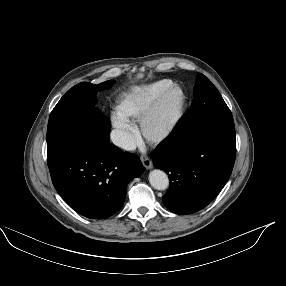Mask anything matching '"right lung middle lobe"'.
Here are the masks:
<instances>
[{"instance_id":"obj_1","label":"right lung middle lobe","mask_w":286,"mask_h":286,"mask_svg":"<svg viewBox=\"0 0 286 286\" xmlns=\"http://www.w3.org/2000/svg\"><path fill=\"white\" fill-rule=\"evenodd\" d=\"M114 81L94 85L81 82L73 86L52 110L47 128V148L77 134H89L109 142L110 121L93 108L99 90L109 89Z\"/></svg>"}]
</instances>
